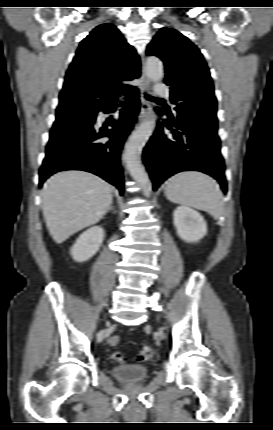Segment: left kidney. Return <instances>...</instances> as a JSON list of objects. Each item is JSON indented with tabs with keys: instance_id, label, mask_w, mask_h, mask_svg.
<instances>
[{
	"instance_id": "obj_1",
	"label": "left kidney",
	"mask_w": 273,
	"mask_h": 430,
	"mask_svg": "<svg viewBox=\"0 0 273 430\" xmlns=\"http://www.w3.org/2000/svg\"><path fill=\"white\" fill-rule=\"evenodd\" d=\"M173 222L178 236L188 243L198 242L207 233V223L203 216L190 207H177Z\"/></svg>"
}]
</instances>
